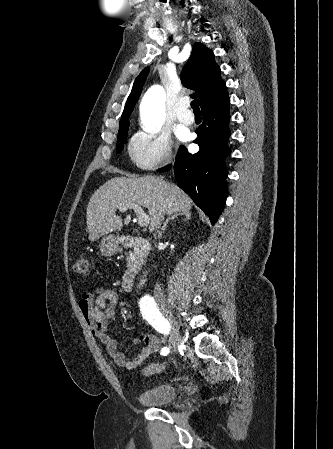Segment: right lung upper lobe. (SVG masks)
Instances as JSON below:
<instances>
[{
  "instance_id": "obj_1",
  "label": "right lung upper lobe",
  "mask_w": 333,
  "mask_h": 449,
  "mask_svg": "<svg viewBox=\"0 0 333 449\" xmlns=\"http://www.w3.org/2000/svg\"><path fill=\"white\" fill-rule=\"evenodd\" d=\"M148 72L149 67H146L135 79L122 113V119L131 115ZM182 78L185 87L197 91V94L192 96L199 98L200 105L208 97L226 86L220 76V67L214 61L213 51L209 50L202 43L194 44L192 54L183 69Z\"/></svg>"
}]
</instances>
